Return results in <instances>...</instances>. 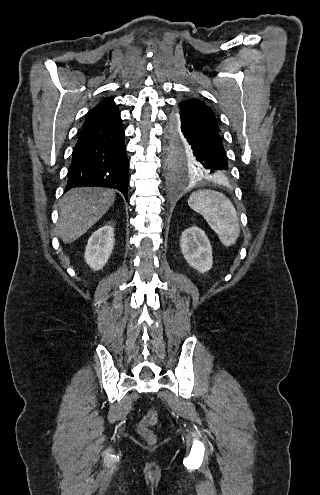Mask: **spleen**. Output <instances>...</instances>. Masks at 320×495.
<instances>
[{"label":"spleen","mask_w":320,"mask_h":495,"mask_svg":"<svg viewBox=\"0 0 320 495\" xmlns=\"http://www.w3.org/2000/svg\"><path fill=\"white\" fill-rule=\"evenodd\" d=\"M188 205L203 216L222 245L230 247L237 241L240 234L237 212L225 195L213 190H199L191 194Z\"/></svg>","instance_id":"spleen-1"}]
</instances>
